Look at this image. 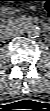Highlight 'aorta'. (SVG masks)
Masks as SVG:
<instances>
[{"mask_svg":"<svg viewBox=\"0 0 50 111\" xmlns=\"http://www.w3.org/2000/svg\"><path fill=\"white\" fill-rule=\"evenodd\" d=\"M27 35L31 38H36L40 35V29L37 26H30L27 31Z\"/></svg>","mask_w":50,"mask_h":111,"instance_id":"aorta-1","label":"aorta"}]
</instances>
